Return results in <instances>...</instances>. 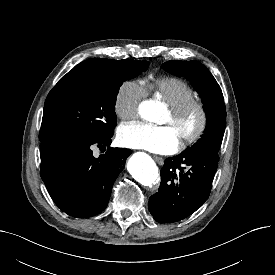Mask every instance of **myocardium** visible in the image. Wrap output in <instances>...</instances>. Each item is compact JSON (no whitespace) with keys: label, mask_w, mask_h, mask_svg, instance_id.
Segmentation results:
<instances>
[{"label":"myocardium","mask_w":275,"mask_h":275,"mask_svg":"<svg viewBox=\"0 0 275 275\" xmlns=\"http://www.w3.org/2000/svg\"><path fill=\"white\" fill-rule=\"evenodd\" d=\"M192 111L198 113L199 122L193 132L180 140L181 148H186L195 143L204 134L208 125V111L204 102L197 98L189 99L174 107H169V113L174 122L181 120Z\"/></svg>","instance_id":"myocardium-1"}]
</instances>
